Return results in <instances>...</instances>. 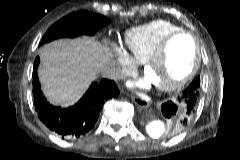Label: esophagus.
<instances>
[{"instance_id":"esophagus-1","label":"esophagus","mask_w":240,"mask_h":160,"mask_svg":"<svg viewBox=\"0 0 240 160\" xmlns=\"http://www.w3.org/2000/svg\"><path fill=\"white\" fill-rule=\"evenodd\" d=\"M131 99H132V101H133L136 105H138L139 107H147V106L149 105V102H148V100L146 99L145 96H140V95L136 96V95H133V96L131 97Z\"/></svg>"}]
</instances>
